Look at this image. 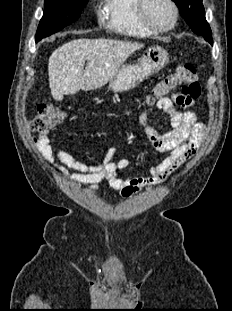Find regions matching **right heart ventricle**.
Here are the masks:
<instances>
[{"instance_id": "1", "label": "right heart ventricle", "mask_w": 232, "mask_h": 311, "mask_svg": "<svg viewBox=\"0 0 232 311\" xmlns=\"http://www.w3.org/2000/svg\"><path fill=\"white\" fill-rule=\"evenodd\" d=\"M137 0H105L104 13L106 26L128 37H146L154 32L144 27L136 14Z\"/></svg>"}]
</instances>
